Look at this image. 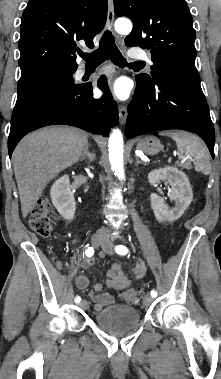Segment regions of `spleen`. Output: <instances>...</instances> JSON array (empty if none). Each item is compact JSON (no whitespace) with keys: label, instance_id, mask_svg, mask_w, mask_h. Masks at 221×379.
<instances>
[{"label":"spleen","instance_id":"spleen-1","mask_svg":"<svg viewBox=\"0 0 221 379\" xmlns=\"http://www.w3.org/2000/svg\"><path fill=\"white\" fill-rule=\"evenodd\" d=\"M160 135L170 136L181 153L193 158L197 172H202L204 175L210 174V155L200 138L185 131L161 132Z\"/></svg>","mask_w":221,"mask_h":379}]
</instances>
